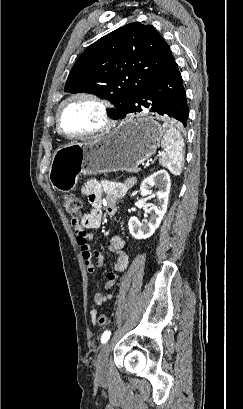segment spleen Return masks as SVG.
I'll return each instance as SVG.
<instances>
[{
	"mask_svg": "<svg viewBox=\"0 0 243 409\" xmlns=\"http://www.w3.org/2000/svg\"><path fill=\"white\" fill-rule=\"evenodd\" d=\"M163 139L161 145L164 147L159 163L166 167L172 174L180 175L184 161V141L180 132L169 122L162 125Z\"/></svg>",
	"mask_w": 243,
	"mask_h": 409,
	"instance_id": "spleen-1",
	"label": "spleen"
}]
</instances>
